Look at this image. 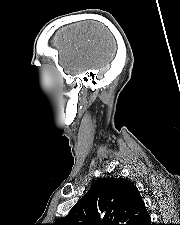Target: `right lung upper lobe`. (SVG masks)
Returning a JSON list of instances; mask_svg holds the SVG:
<instances>
[{
  "label": "right lung upper lobe",
  "mask_w": 180,
  "mask_h": 225,
  "mask_svg": "<svg viewBox=\"0 0 180 225\" xmlns=\"http://www.w3.org/2000/svg\"><path fill=\"white\" fill-rule=\"evenodd\" d=\"M150 221L134 183L108 177L96 180L69 214L52 225H147Z\"/></svg>",
  "instance_id": "cb5924a9"
}]
</instances>
